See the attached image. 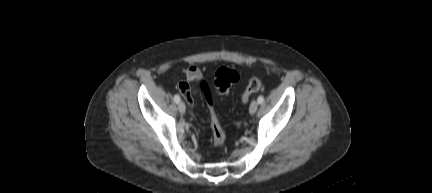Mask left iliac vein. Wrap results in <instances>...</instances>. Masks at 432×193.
Instances as JSON below:
<instances>
[{"mask_svg":"<svg viewBox=\"0 0 432 193\" xmlns=\"http://www.w3.org/2000/svg\"><path fill=\"white\" fill-rule=\"evenodd\" d=\"M258 109V102L256 100L252 101L249 107V112L255 114Z\"/></svg>","mask_w":432,"mask_h":193,"instance_id":"1","label":"left iliac vein"}]
</instances>
